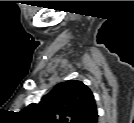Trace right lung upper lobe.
<instances>
[{
  "label": "right lung upper lobe",
  "instance_id": "cb5924a9",
  "mask_svg": "<svg viewBox=\"0 0 134 123\" xmlns=\"http://www.w3.org/2000/svg\"><path fill=\"white\" fill-rule=\"evenodd\" d=\"M23 115L38 123H97V108L91 90L81 81L57 84L38 103L22 110Z\"/></svg>",
  "mask_w": 134,
  "mask_h": 123
}]
</instances>
